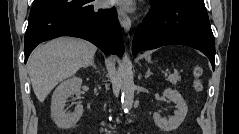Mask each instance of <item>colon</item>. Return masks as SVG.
<instances>
[{
    "mask_svg": "<svg viewBox=\"0 0 239 134\" xmlns=\"http://www.w3.org/2000/svg\"><path fill=\"white\" fill-rule=\"evenodd\" d=\"M193 73H194L195 77L198 78L200 76V74H201L200 68L199 67H195L194 70H193Z\"/></svg>",
    "mask_w": 239,
    "mask_h": 134,
    "instance_id": "5ec220e1",
    "label": "colon"
}]
</instances>
